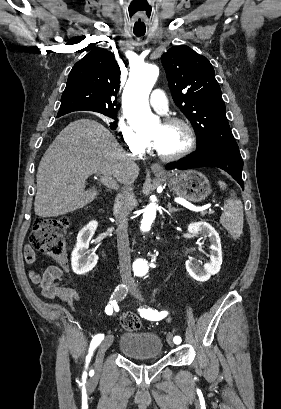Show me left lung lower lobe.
Segmentation results:
<instances>
[{"label": "left lung lower lobe", "mask_w": 281, "mask_h": 409, "mask_svg": "<svg viewBox=\"0 0 281 409\" xmlns=\"http://www.w3.org/2000/svg\"><path fill=\"white\" fill-rule=\"evenodd\" d=\"M218 167L228 172L244 189L242 180L243 160L238 148L201 146L187 158L171 163L166 169H190Z\"/></svg>", "instance_id": "left-lung-lower-lobe-1"}]
</instances>
